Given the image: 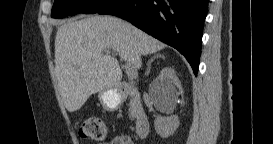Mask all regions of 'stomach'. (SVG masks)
<instances>
[{
	"instance_id": "obj_1",
	"label": "stomach",
	"mask_w": 273,
	"mask_h": 144,
	"mask_svg": "<svg viewBox=\"0 0 273 144\" xmlns=\"http://www.w3.org/2000/svg\"><path fill=\"white\" fill-rule=\"evenodd\" d=\"M99 101L107 111H115L122 104V93L117 90H108L99 93Z\"/></svg>"
}]
</instances>
